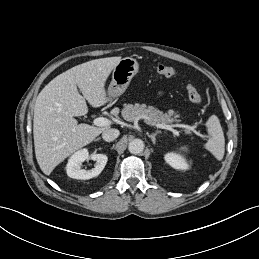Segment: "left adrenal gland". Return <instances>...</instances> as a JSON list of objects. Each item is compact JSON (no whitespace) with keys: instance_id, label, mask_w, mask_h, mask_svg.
Here are the masks:
<instances>
[{"instance_id":"1","label":"left adrenal gland","mask_w":259,"mask_h":259,"mask_svg":"<svg viewBox=\"0 0 259 259\" xmlns=\"http://www.w3.org/2000/svg\"><path fill=\"white\" fill-rule=\"evenodd\" d=\"M157 133H158V131H156V132H154V133H152V134L147 133V136H148L149 138H151V140H152V142H153L154 144L156 143V135H157Z\"/></svg>"}]
</instances>
